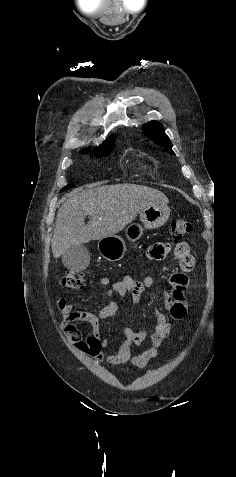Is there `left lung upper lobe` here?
Segmentation results:
<instances>
[{
	"label": "left lung upper lobe",
	"instance_id": "obj_1",
	"mask_svg": "<svg viewBox=\"0 0 236 477\" xmlns=\"http://www.w3.org/2000/svg\"><path fill=\"white\" fill-rule=\"evenodd\" d=\"M143 131L153 142L165 148L169 153L174 154L171 149L172 143L169 137L165 134L161 123L151 121L143 126Z\"/></svg>",
	"mask_w": 236,
	"mask_h": 477
}]
</instances>
